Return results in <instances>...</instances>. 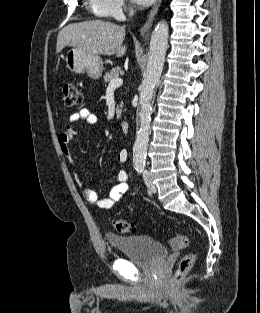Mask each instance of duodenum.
I'll list each match as a JSON object with an SVG mask.
<instances>
[{
	"instance_id": "duodenum-1",
	"label": "duodenum",
	"mask_w": 260,
	"mask_h": 313,
	"mask_svg": "<svg viewBox=\"0 0 260 313\" xmlns=\"http://www.w3.org/2000/svg\"><path fill=\"white\" fill-rule=\"evenodd\" d=\"M121 126H122L123 133L128 134L129 130H130L129 129V123L127 121H123Z\"/></svg>"
}]
</instances>
